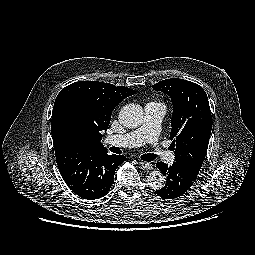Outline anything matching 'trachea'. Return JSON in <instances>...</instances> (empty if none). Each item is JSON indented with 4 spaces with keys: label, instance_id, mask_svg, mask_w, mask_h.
I'll return each instance as SVG.
<instances>
[{
    "label": "trachea",
    "instance_id": "3493384b",
    "mask_svg": "<svg viewBox=\"0 0 255 255\" xmlns=\"http://www.w3.org/2000/svg\"><path fill=\"white\" fill-rule=\"evenodd\" d=\"M110 151L116 154H121V150L118 147H111ZM141 159L143 161H153L154 159H156V155L151 153H146L141 155Z\"/></svg>",
    "mask_w": 255,
    "mask_h": 255
}]
</instances>
